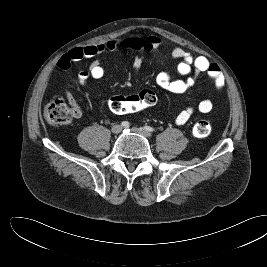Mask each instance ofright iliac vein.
Returning a JSON list of instances; mask_svg holds the SVG:
<instances>
[{"label":"right iliac vein","instance_id":"obj_1","mask_svg":"<svg viewBox=\"0 0 267 267\" xmlns=\"http://www.w3.org/2000/svg\"><path fill=\"white\" fill-rule=\"evenodd\" d=\"M111 131L115 134H118L122 131V126L119 124H115L112 126Z\"/></svg>","mask_w":267,"mask_h":267}]
</instances>
